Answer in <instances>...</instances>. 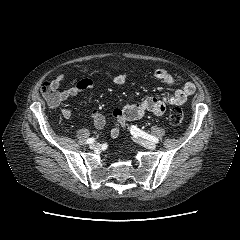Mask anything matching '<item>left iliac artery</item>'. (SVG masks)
Listing matches in <instances>:
<instances>
[{"label": "left iliac artery", "instance_id": "obj_1", "mask_svg": "<svg viewBox=\"0 0 240 240\" xmlns=\"http://www.w3.org/2000/svg\"><path fill=\"white\" fill-rule=\"evenodd\" d=\"M131 134L133 136H140V137H143L149 141H152V142H155V143H158L159 142V139L154 137V136H151L149 134H147L146 132L140 130L139 128H137L136 126H131Z\"/></svg>", "mask_w": 240, "mask_h": 240}]
</instances>
